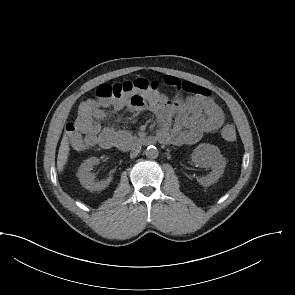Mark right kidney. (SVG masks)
<instances>
[{
  "mask_svg": "<svg viewBox=\"0 0 295 295\" xmlns=\"http://www.w3.org/2000/svg\"><path fill=\"white\" fill-rule=\"evenodd\" d=\"M99 164L97 157H91L84 161L78 169V178L81 185L90 191H101L108 187L112 181V177H108L106 180L96 182L94 173H91L93 166Z\"/></svg>",
  "mask_w": 295,
  "mask_h": 295,
  "instance_id": "1",
  "label": "right kidney"
}]
</instances>
